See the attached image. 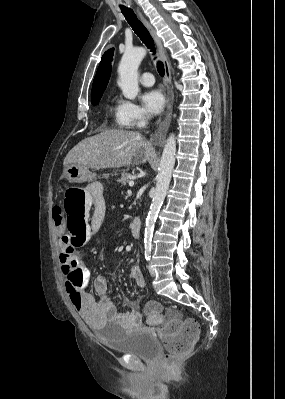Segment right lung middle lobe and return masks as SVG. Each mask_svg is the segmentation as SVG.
I'll return each mask as SVG.
<instances>
[{
	"instance_id": "1",
	"label": "right lung middle lobe",
	"mask_w": 285,
	"mask_h": 399,
	"mask_svg": "<svg viewBox=\"0 0 285 399\" xmlns=\"http://www.w3.org/2000/svg\"><path fill=\"white\" fill-rule=\"evenodd\" d=\"M102 94H103V93L98 94V95H95V96H92V97H91V103H92L93 105L97 104V103L99 102V100L101 99Z\"/></svg>"
}]
</instances>
